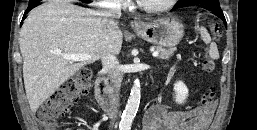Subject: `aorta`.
Returning a JSON list of instances; mask_svg holds the SVG:
<instances>
[{"instance_id": "aorta-1", "label": "aorta", "mask_w": 257, "mask_h": 130, "mask_svg": "<svg viewBox=\"0 0 257 130\" xmlns=\"http://www.w3.org/2000/svg\"><path fill=\"white\" fill-rule=\"evenodd\" d=\"M141 98V86L138 79L134 81L130 96L128 98L122 119L119 125L120 130H130L134 117L138 111Z\"/></svg>"}]
</instances>
